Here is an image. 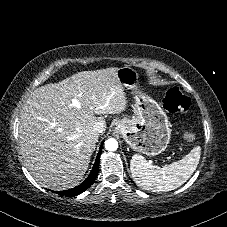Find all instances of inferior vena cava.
<instances>
[{
	"mask_svg": "<svg viewBox=\"0 0 227 227\" xmlns=\"http://www.w3.org/2000/svg\"><path fill=\"white\" fill-rule=\"evenodd\" d=\"M105 131V125L102 123V122H96L94 125H93V132L95 134H103Z\"/></svg>",
	"mask_w": 227,
	"mask_h": 227,
	"instance_id": "obj_1",
	"label": "inferior vena cava"
}]
</instances>
